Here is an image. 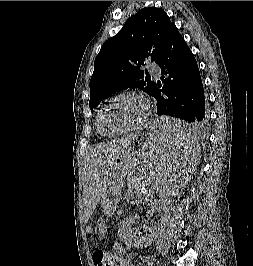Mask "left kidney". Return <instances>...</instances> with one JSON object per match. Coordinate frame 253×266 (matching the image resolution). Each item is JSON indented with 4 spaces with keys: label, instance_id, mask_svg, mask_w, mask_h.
<instances>
[{
    "label": "left kidney",
    "instance_id": "left-kidney-1",
    "mask_svg": "<svg viewBox=\"0 0 253 266\" xmlns=\"http://www.w3.org/2000/svg\"><path fill=\"white\" fill-rule=\"evenodd\" d=\"M137 215H129L124 219L119 228L120 239L129 247H143L153 240L155 233L152 230L143 233L135 231V224L138 222ZM151 243V242H150Z\"/></svg>",
    "mask_w": 253,
    "mask_h": 266
}]
</instances>
